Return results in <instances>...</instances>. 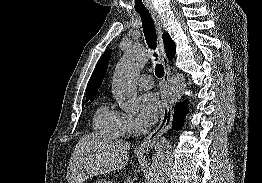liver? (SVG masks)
I'll return each instance as SVG.
<instances>
[{"instance_id":"1","label":"liver","mask_w":262,"mask_h":183,"mask_svg":"<svg viewBox=\"0 0 262 183\" xmlns=\"http://www.w3.org/2000/svg\"><path fill=\"white\" fill-rule=\"evenodd\" d=\"M129 149V142L104 133L83 135L69 160L68 183H82L89 177L124 168Z\"/></svg>"}]
</instances>
